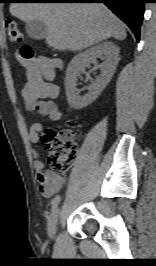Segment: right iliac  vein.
Returning <instances> with one entry per match:
<instances>
[{"label":"right iliac vein","mask_w":156,"mask_h":266,"mask_svg":"<svg viewBox=\"0 0 156 266\" xmlns=\"http://www.w3.org/2000/svg\"><path fill=\"white\" fill-rule=\"evenodd\" d=\"M60 215V209L56 208L51 213L49 220H48V236L49 238L53 239L56 235V226L58 222V218Z\"/></svg>","instance_id":"right-iliac-vein-1"}]
</instances>
